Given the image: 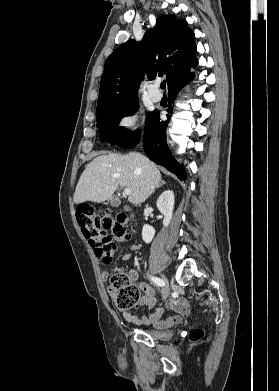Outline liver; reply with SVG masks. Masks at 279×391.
<instances>
[{
    "label": "liver",
    "instance_id": "liver-1",
    "mask_svg": "<svg viewBox=\"0 0 279 391\" xmlns=\"http://www.w3.org/2000/svg\"><path fill=\"white\" fill-rule=\"evenodd\" d=\"M160 183L159 169L140 153L101 155L86 166L73 199L77 204L86 201L101 203L111 198L118 186H122L131 190L128 201L140 205Z\"/></svg>",
    "mask_w": 279,
    "mask_h": 391
}]
</instances>
